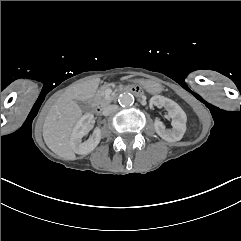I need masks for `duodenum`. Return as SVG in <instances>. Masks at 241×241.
Listing matches in <instances>:
<instances>
[{
  "label": "duodenum",
  "instance_id": "410a0bca",
  "mask_svg": "<svg viewBox=\"0 0 241 241\" xmlns=\"http://www.w3.org/2000/svg\"><path fill=\"white\" fill-rule=\"evenodd\" d=\"M123 92H129V93H133L135 95H141V89L138 86H127L125 88L122 89ZM96 113H100L101 112V108L97 107L95 109Z\"/></svg>",
  "mask_w": 241,
  "mask_h": 241
}]
</instances>
